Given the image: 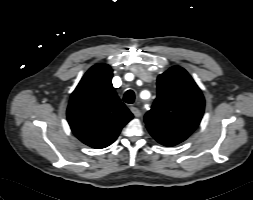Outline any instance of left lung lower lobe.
<instances>
[{"instance_id": "obj_1", "label": "left lung lower lobe", "mask_w": 253, "mask_h": 200, "mask_svg": "<svg viewBox=\"0 0 253 200\" xmlns=\"http://www.w3.org/2000/svg\"><path fill=\"white\" fill-rule=\"evenodd\" d=\"M148 131L153 136V138H155L160 144L164 146H174L187 139V136L164 132L154 128H148Z\"/></svg>"}]
</instances>
